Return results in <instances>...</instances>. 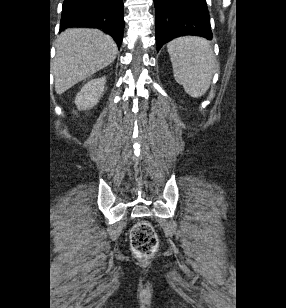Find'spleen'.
<instances>
[{
  "mask_svg": "<svg viewBox=\"0 0 286 308\" xmlns=\"http://www.w3.org/2000/svg\"><path fill=\"white\" fill-rule=\"evenodd\" d=\"M167 50L176 82L191 97L205 94L215 73V55L210 43L202 37L184 36L170 41Z\"/></svg>",
  "mask_w": 286,
  "mask_h": 308,
  "instance_id": "spleen-1",
  "label": "spleen"
}]
</instances>
